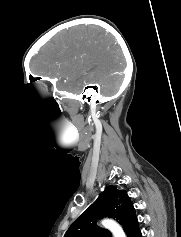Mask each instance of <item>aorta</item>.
Here are the masks:
<instances>
[{
	"instance_id": "aorta-1",
	"label": "aorta",
	"mask_w": 181,
	"mask_h": 237,
	"mask_svg": "<svg viewBox=\"0 0 181 237\" xmlns=\"http://www.w3.org/2000/svg\"><path fill=\"white\" fill-rule=\"evenodd\" d=\"M102 225L109 229L114 237H126L123 229L115 221L105 219L102 221Z\"/></svg>"
}]
</instances>
